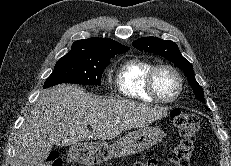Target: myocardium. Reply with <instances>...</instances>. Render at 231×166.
Returning <instances> with one entry per match:
<instances>
[{
	"label": "myocardium",
	"instance_id": "f54148a6",
	"mask_svg": "<svg viewBox=\"0 0 231 166\" xmlns=\"http://www.w3.org/2000/svg\"><path fill=\"white\" fill-rule=\"evenodd\" d=\"M161 69H166V70H169L170 72H172L178 81V89H177L175 95L170 97V98H165L162 95H160V93L157 91L156 86H155L156 74ZM183 87H184V80H183L181 73L179 72V70L177 68H175L174 66H172L170 64H167V63L156 64L147 73V76H146L147 92L149 93V95L151 97H153L158 102L172 103V102L176 101L180 97V95L183 91Z\"/></svg>",
	"mask_w": 231,
	"mask_h": 166
}]
</instances>
